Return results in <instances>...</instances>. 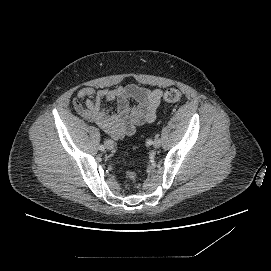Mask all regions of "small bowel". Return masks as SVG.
Returning a JSON list of instances; mask_svg holds the SVG:
<instances>
[{
    "instance_id": "c3829d8e",
    "label": "small bowel",
    "mask_w": 271,
    "mask_h": 271,
    "mask_svg": "<svg viewBox=\"0 0 271 271\" xmlns=\"http://www.w3.org/2000/svg\"><path fill=\"white\" fill-rule=\"evenodd\" d=\"M162 91L137 85L117 86L95 90L81 88L73 99L75 111L84 119L98 125L114 139L132 135L136 129L156 118ZM105 103L114 105L115 110L105 108Z\"/></svg>"
}]
</instances>
